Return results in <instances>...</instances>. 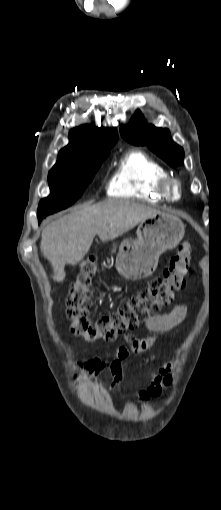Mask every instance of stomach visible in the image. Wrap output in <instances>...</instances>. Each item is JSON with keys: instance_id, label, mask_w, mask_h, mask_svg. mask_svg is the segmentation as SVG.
<instances>
[{"instance_id": "0dacf381", "label": "stomach", "mask_w": 221, "mask_h": 510, "mask_svg": "<svg viewBox=\"0 0 221 510\" xmlns=\"http://www.w3.org/2000/svg\"><path fill=\"white\" fill-rule=\"evenodd\" d=\"M136 234V239L123 240L112 250L117 251L115 265L119 274L133 281L153 273L159 256L182 240L185 226L177 216L160 212L141 222Z\"/></svg>"}]
</instances>
